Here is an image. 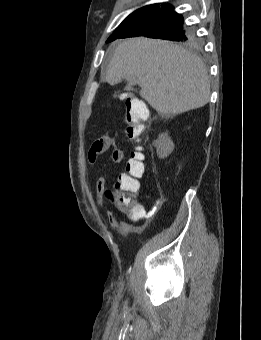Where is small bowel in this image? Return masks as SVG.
I'll use <instances>...</instances> for the list:
<instances>
[{"label":"small bowel","instance_id":"c3829d8e","mask_svg":"<svg viewBox=\"0 0 261 340\" xmlns=\"http://www.w3.org/2000/svg\"><path fill=\"white\" fill-rule=\"evenodd\" d=\"M112 145V141L108 136H102L97 139L89 148L87 152V161L89 164H94L99 155L106 152ZM124 159V152L121 149H114L111 155V162L116 165ZM108 176L104 175L96 181V199L98 205L102 208L104 206L103 195L106 188ZM142 213L139 215L128 214V221L117 219L111 211H106V216L109 223L115 227L118 232L127 236L132 233L140 232L143 228L141 221L146 217V212L142 207Z\"/></svg>","mask_w":261,"mask_h":340}]
</instances>
